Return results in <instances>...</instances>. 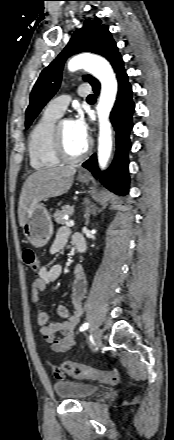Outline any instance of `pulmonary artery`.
Instances as JSON below:
<instances>
[{"label": "pulmonary artery", "mask_w": 174, "mask_h": 440, "mask_svg": "<svg viewBox=\"0 0 174 440\" xmlns=\"http://www.w3.org/2000/svg\"><path fill=\"white\" fill-rule=\"evenodd\" d=\"M91 93V88L88 85H80L78 87V95L79 96H89ZM70 102V97L67 95L59 96L51 100L47 106L46 111L50 113H54L57 115H62L66 110L68 104Z\"/></svg>", "instance_id": "1"}]
</instances>
